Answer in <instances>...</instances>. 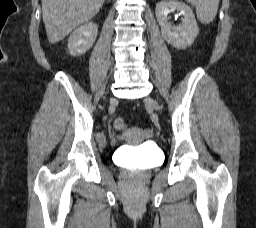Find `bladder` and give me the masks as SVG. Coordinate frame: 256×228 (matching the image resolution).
<instances>
[{
	"mask_svg": "<svg viewBox=\"0 0 256 228\" xmlns=\"http://www.w3.org/2000/svg\"><path fill=\"white\" fill-rule=\"evenodd\" d=\"M155 158H156V155H155L154 151H152V150L147 151L144 155V160L147 162H152L155 160Z\"/></svg>",
	"mask_w": 256,
	"mask_h": 228,
	"instance_id": "obj_1",
	"label": "bladder"
}]
</instances>
